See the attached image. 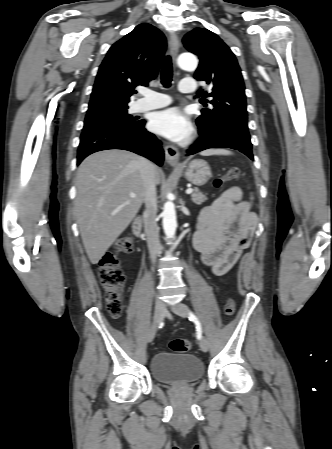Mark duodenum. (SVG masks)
<instances>
[{
	"mask_svg": "<svg viewBox=\"0 0 332 449\" xmlns=\"http://www.w3.org/2000/svg\"><path fill=\"white\" fill-rule=\"evenodd\" d=\"M132 231L133 234L138 237L139 239H143L144 238V233H143V217L142 216H138L133 224H132Z\"/></svg>",
	"mask_w": 332,
	"mask_h": 449,
	"instance_id": "obj_1",
	"label": "duodenum"
}]
</instances>
